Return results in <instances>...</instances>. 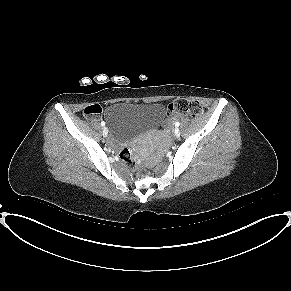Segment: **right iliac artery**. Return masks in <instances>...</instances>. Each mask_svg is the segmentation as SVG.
<instances>
[{"label": "right iliac artery", "mask_w": 291, "mask_h": 291, "mask_svg": "<svg viewBox=\"0 0 291 291\" xmlns=\"http://www.w3.org/2000/svg\"><path fill=\"white\" fill-rule=\"evenodd\" d=\"M101 125H102V126H105V122L102 121V122H101Z\"/></svg>", "instance_id": "right-iliac-artery-1"}]
</instances>
